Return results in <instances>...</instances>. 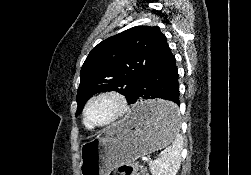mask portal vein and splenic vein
<instances>
[{
  "label": "portal vein and splenic vein",
  "instance_id": "18ae733b",
  "mask_svg": "<svg viewBox=\"0 0 251 175\" xmlns=\"http://www.w3.org/2000/svg\"><path fill=\"white\" fill-rule=\"evenodd\" d=\"M153 155H159V152H153ZM140 161L141 162H147L148 161V158L146 155H141L140 156Z\"/></svg>",
  "mask_w": 251,
  "mask_h": 175
}]
</instances>
